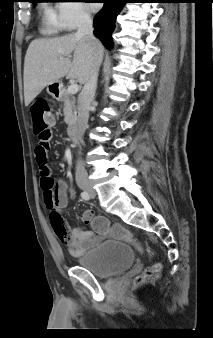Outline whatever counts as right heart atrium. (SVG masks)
Segmentation results:
<instances>
[{"label":"right heart atrium","mask_w":213,"mask_h":338,"mask_svg":"<svg viewBox=\"0 0 213 338\" xmlns=\"http://www.w3.org/2000/svg\"><path fill=\"white\" fill-rule=\"evenodd\" d=\"M53 20L65 30H73L87 24L91 16L83 3L78 1H63L52 13Z\"/></svg>","instance_id":"d8ad5b80"}]
</instances>
